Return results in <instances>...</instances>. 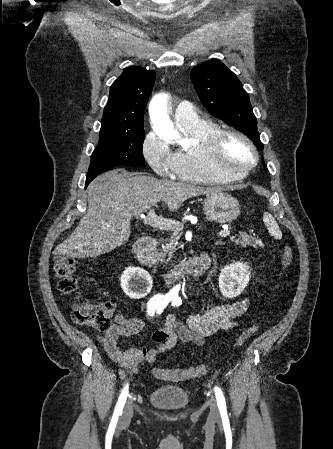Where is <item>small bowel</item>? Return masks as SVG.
<instances>
[{"label":"small bowel","instance_id":"c3829d8e","mask_svg":"<svg viewBox=\"0 0 333 449\" xmlns=\"http://www.w3.org/2000/svg\"><path fill=\"white\" fill-rule=\"evenodd\" d=\"M249 312V300L242 299L208 306L200 313L191 315L186 322L169 314L165 325L151 336L153 347H131L126 350L119 347L120 337L141 333L144 321L138 316L120 313L115 316L114 324L98 335V339L113 362L127 371L136 372L139 365L153 363L159 354L173 349L178 342L202 345L207 336L236 327L239 319Z\"/></svg>","mask_w":333,"mask_h":449}]
</instances>
